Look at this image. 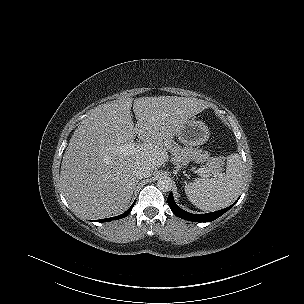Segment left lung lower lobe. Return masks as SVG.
<instances>
[{
	"instance_id": "1",
	"label": "left lung lower lobe",
	"mask_w": 304,
	"mask_h": 304,
	"mask_svg": "<svg viewBox=\"0 0 304 304\" xmlns=\"http://www.w3.org/2000/svg\"><path fill=\"white\" fill-rule=\"evenodd\" d=\"M167 201L172 212L182 219L194 221V222H211L219 218L225 212H227L238 200L230 207L207 214H191L189 212L184 211L175 203L172 192H170Z\"/></svg>"
}]
</instances>
